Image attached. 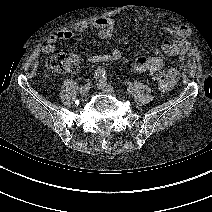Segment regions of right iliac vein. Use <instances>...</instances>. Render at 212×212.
I'll return each mask as SVG.
<instances>
[{
    "label": "right iliac vein",
    "instance_id": "1",
    "mask_svg": "<svg viewBox=\"0 0 212 212\" xmlns=\"http://www.w3.org/2000/svg\"><path fill=\"white\" fill-rule=\"evenodd\" d=\"M79 91H80V94H81L82 96L87 95L88 92L90 91V84H85V85H83V86L80 88Z\"/></svg>",
    "mask_w": 212,
    "mask_h": 212
}]
</instances>
